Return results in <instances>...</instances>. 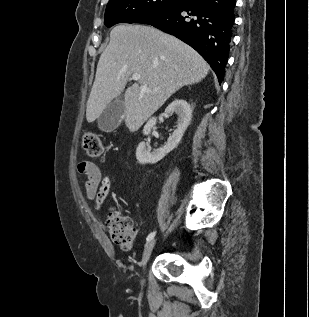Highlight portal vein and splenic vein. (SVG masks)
<instances>
[{
	"label": "portal vein and splenic vein",
	"mask_w": 309,
	"mask_h": 317,
	"mask_svg": "<svg viewBox=\"0 0 309 317\" xmlns=\"http://www.w3.org/2000/svg\"><path fill=\"white\" fill-rule=\"evenodd\" d=\"M132 79L134 80V81H138L139 79H140V75L139 74H137V73H134V74H132ZM141 91H143V92H148L149 91V89L146 87V86H141Z\"/></svg>",
	"instance_id": "obj_1"
}]
</instances>
